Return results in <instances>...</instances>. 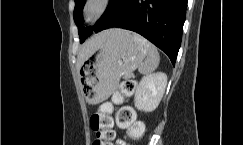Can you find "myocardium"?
<instances>
[{"instance_id":"obj_1","label":"myocardium","mask_w":243,"mask_h":145,"mask_svg":"<svg viewBox=\"0 0 243 145\" xmlns=\"http://www.w3.org/2000/svg\"><path fill=\"white\" fill-rule=\"evenodd\" d=\"M114 0H85L82 19L87 24H95L113 7Z\"/></svg>"}]
</instances>
